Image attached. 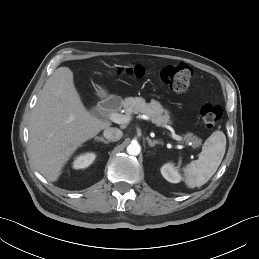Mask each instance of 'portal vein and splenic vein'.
<instances>
[{"instance_id":"obj_1","label":"portal vein and splenic vein","mask_w":259,"mask_h":259,"mask_svg":"<svg viewBox=\"0 0 259 259\" xmlns=\"http://www.w3.org/2000/svg\"><path fill=\"white\" fill-rule=\"evenodd\" d=\"M109 119L117 124H127L130 122L131 117L129 115H123L119 113H110ZM172 138L179 142L183 141V138L176 134H172Z\"/></svg>"}]
</instances>
